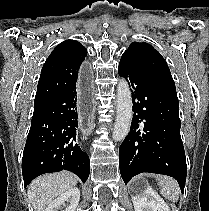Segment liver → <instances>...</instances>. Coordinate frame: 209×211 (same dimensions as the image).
Instances as JSON below:
<instances>
[{"label": "liver", "instance_id": "6515ba94", "mask_svg": "<svg viewBox=\"0 0 209 211\" xmlns=\"http://www.w3.org/2000/svg\"><path fill=\"white\" fill-rule=\"evenodd\" d=\"M77 184V178L70 172L46 174L36 178L28 188V198L34 211H45L56 197Z\"/></svg>", "mask_w": 209, "mask_h": 211}]
</instances>
